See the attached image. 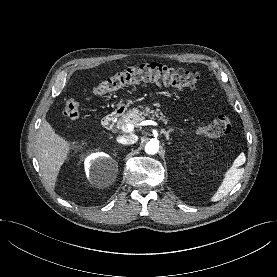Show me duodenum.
Segmentation results:
<instances>
[{
    "label": "duodenum",
    "mask_w": 277,
    "mask_h": 277,
    "mask_svg": "<svg viewBox=\"0 0 277 277\" xmlns=\"http://www.w3.org/2000/svg\"><path fill=\"white\" fill-rule=\"evenodd\" d=\"M120 112H121V110L118 109V110H113L110 113H108L106 116L103 117L102 125L107 129H111L114 126L116 119Z\"/></svg>",
    "instance_id": "obj_1"
}]
</instances>
